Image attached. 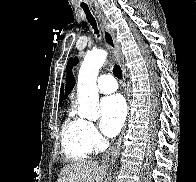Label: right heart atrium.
<instances>
[{
    "label": "right heart atrium",
    "mask_w": 196,
    "mask_h": 182,
    "mask_svg": "<svg viewBox=\"0 0 196 182\" xmlns=\"http://www.w3.org/2000/svg\"><path fill=\"white\" fill-rule=\"evenodd\" d=\"M85 136L91 149L101 147L102 138L93 123L85 121Z\"/></svg>",
    "instance_id": "obj_1"
}]
</instances>
